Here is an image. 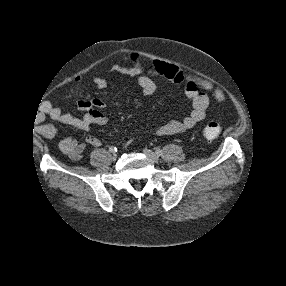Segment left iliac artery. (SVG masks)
<instances>
[{
	"label": "left iliac artery",
	"instance_id": "1",
	"mask_svg": "<svg viewBox=\"0 0 286 286\" xmlns=\"http://www.w3.org/2000/svg\"><path fill=\"white\" fill-rule=\"evenodd\" d=\"M156 154H157V155H161V154H162V150H161V149H157V150H156Z\"/></svg>",
	"mask_w": 286,
	"mask_h": 286
}]
</instances>
